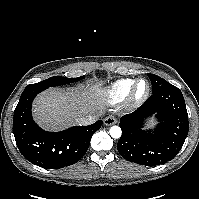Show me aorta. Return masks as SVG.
Returning a JSON list of instances; mask_svg holds the SVG:
<instances>
[{"mask_svg":"<svg viewBox=\"0 0 199 199\" xmlns=\"http://www.w3.org/2000/svg\"><path fill=\"white\" fill-rule=\"evenodd\" d=\"M109 133L112 138L118 139L121 137L122 131L119 126H112L109 130Z\"/></svg>","mask_w":199,"mask_h":199,"instance_id":"1","label":"aorta"}]
</instances>
